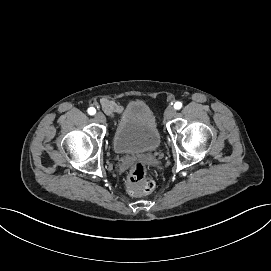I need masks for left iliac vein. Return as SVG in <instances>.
Wrapping results in <instances>:
<instances>
[{"instance_id": "4c4485c4", "label": "left iliac vein", "mask_w": 271, "mask_h": 271, "mask_svg": "<svg viewBox=\"0 0 271 271\" xmlns=\"http://www.w3.org/2000/svg\"><path fill=\"white\" fill-rule=\"evenodd\" d=\"M175 115H176V110L174 107H171V106H169L164 112L165 119H170L174 117Z\"/></svg>"}]
</instances>
